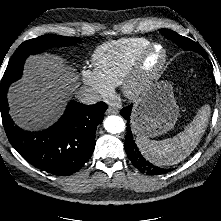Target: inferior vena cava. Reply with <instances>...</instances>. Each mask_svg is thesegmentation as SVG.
Segmentation results:
<instances>
[{
	"instance_id": "1",
	"label": "inferior vena cava",
	"mask_w": 221,
	"mask_h": 221,
	"mask_svg": "<svg viewBox=\"0 0 221 221\" xmlns=\"http://www.w3.org/2000/svg\"><path fill=\"white\" fill-rule=\"evenodd\" d=\"M77 98L86 105H92L101 100L99 93L88 87H82L77 93Z\"/></svg>"
}]
</instances>
